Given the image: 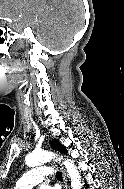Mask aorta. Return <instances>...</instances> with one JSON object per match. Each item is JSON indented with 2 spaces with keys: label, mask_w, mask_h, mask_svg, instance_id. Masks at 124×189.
<instances>
[{
  "label": "aorta",
  "mask_w": 124,
  "mask_h": 189,
  "mask_svg": "<svg viewBox=\"0 0 124 189\" xmlns=\"http://www.w3.org/2000/svg\"><path fill=\"white\" fill-rule=\"evenodd\" d=\"M54 157V154L48 151H35L30 154H28L25 158V163L29 167H35L40 164L49 162ZM64 166L67 169V173L71 180V187L72 189H81V177L80 174L74 165V162L71 160H65Z\"/></svg>",
  "instance_id": "obj_1"
}]
</instances>
